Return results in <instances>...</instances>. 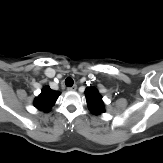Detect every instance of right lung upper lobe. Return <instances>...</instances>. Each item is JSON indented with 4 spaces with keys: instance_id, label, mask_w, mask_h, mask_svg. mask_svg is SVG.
<instances>
[{
    "instance_id": "cb5924a9",
    "label": "right lung upper lobe",
    "mask_w": 163,
    "mask_h": 163,
    "mask_svg": "<svg viewBox=\"0 0 163 163\" xmlns=\"http://www.w3.org/2000/svg\"><path fill=\"white\" fill-rule=\"evenodd\" d=\"M59 95V91H54L50 89L49 86H46L43 88L41 94L35 99L34 106L39 110L47 112L54 105Z\"/></svg>"
}]
</instances>
